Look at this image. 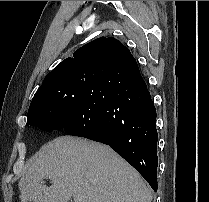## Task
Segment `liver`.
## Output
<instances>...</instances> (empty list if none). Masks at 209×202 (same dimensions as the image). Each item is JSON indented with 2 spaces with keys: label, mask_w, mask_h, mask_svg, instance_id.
I'll return each mask as SVG.
<instances>
[{
  "label": "liver",
  "mask_w": 209,
  "mask_h": 202,
  "mask_svg": "<svg viewBox=\"0 0 209 202\" xmlns=\"http://www.w3.org/2000/svg\"><path fill=\"white\" fill-rule=\"evenodd\" d=\"M18 183L21 202H151L136 170L111 148L71 136L41 147ZM49 179L52 185L43 184Z\"/></svg>",
  "instance_id": "liver-1"
}]
</instances>
